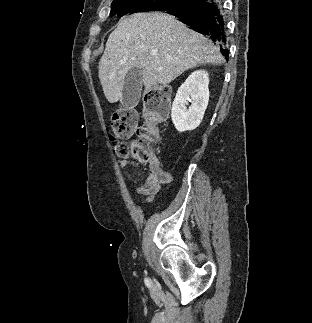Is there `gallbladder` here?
<instances>
[{"label":"gallbladder","instance_id":"obj_1","mask_svg":"<svg viewBox=\"0 0 312 323\" xmlns=\"http://www.w3.org/2000/svg\"><path fill=\"white\" fill-rule=\"evenodd\" d=\"M143 72L141 68H131L128 70L122 90V106L124 108H134L140 100L142 90Z\"/></svg>","mask_w":312,"mask_h":323}]
</instances>
